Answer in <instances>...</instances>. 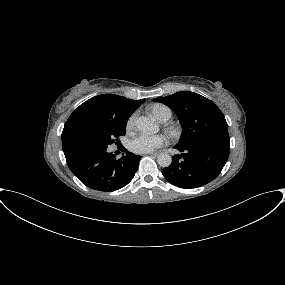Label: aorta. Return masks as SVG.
Here are the masks:
<instances>
[{
    "instance_id": "obj_1",
    "label": "aorta",
    "mask_w": 285,
    "mask_h": 285,
    "mask_svg": "<svg viewBox=\"0 0 285 285\" xmlns=\"http://www.w3.org/2000/svg\"><path fill=\"white\" fill-rule=\"evenodd\" d=\"M136 127L144 133H156L159 130V126L150 118L141 116L135 121ZM157 163L165 168L171 165L172 157L168 153H161L157 157Z\"/></svg>"
}]
</instances>
